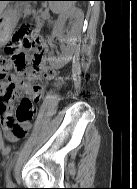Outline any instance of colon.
<instances>
[{"mask_svg": "<svg viewBox=\"0 0 137 189\" xmlns=\"http://www.w3.org/2000/svg\"><path fill=\"white\" fill-rule=\"evenodd\" d=\"M26 49L33 51L30 61L26 59L23 52ZM46 50V44L41 36L34 34L26 26L20 27L13 34L11 41L6 46L7 56H0L1 90L3 86L9 82L10 74L14 67H16L19 72H27L33 77L40 74L39 66ZM51 73L52 71L49 67L43 72L44 76H48ZM33 113H36V108L27 99L22 100L16 110L18 119L25 118L27 115L31 116Z\"/></svg>", "mask_w": 137, "mask_h": 189, "instance_id": "1", "label": "colon"}]
</instances>
